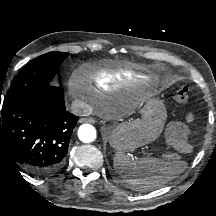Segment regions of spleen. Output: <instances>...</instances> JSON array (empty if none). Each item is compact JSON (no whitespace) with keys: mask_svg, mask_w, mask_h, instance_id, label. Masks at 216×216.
Instances as JSON below:
<instances>
[{"mask_svg":"<svg viewBox=\"0 0 216 216\" xmlns=\"http://www.w3.org/2000/svg\"><path fill=\"white\" fill-rule=\"evenodd\" d=\"M114 167L124 183L136 189L152 190L175 179L183 168L178 162L152 157L133 158L118 151L113 158Z\"/></svg>","mask_w":216,"mask_h":216,"instance_id":"1","label":"spleen"}]
</instances>
